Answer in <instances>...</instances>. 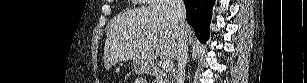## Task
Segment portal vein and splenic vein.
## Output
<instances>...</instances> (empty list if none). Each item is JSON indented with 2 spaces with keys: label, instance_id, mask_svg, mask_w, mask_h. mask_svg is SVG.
Returning <instances> with one entry per match:
<instances>
[{
  "label": "portal vein and splenic vein",
  "instance_id": "18ae733b",
  "mask_svg": "<svg viewBox=\"0 0 307 83\" xmlns=\"http://www.w3.org/2000/svg\"><path fill=\"white\" fill-rule=\"evenodd\" d=\"M162 69L165 72H170L173 69V62L171 60H164L162 64Z\"/></svg>",
  "mask_w": 307,
  "mask_h": 83
}]
</instances>
